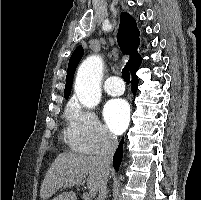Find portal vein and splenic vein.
<instances>
[{
	"mask_svg": "<svg viewBox=\"0 0 201 200\" xmlns=\"http://www.w3.org/2000/svg\"><path fill=\"white\" fill-rule=\"evenodd\" d=\"M79 184H82L81 182H76V181H70V182H66L65 185L66 186H74V185H79ZM84 200H91V195L89 194H84Z\"/></svg>",
	"mask_w": 201,
	"mask_h": 200,
	"instance_id": "18ae733b",
	"label": "portal vein and splenic vein"
}]
</instances>
